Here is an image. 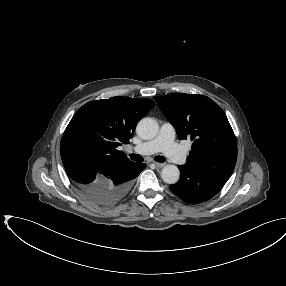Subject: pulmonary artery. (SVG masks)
Returning <instances> with one entry per match:
<instances>
[{
    "mask_svg": "<svg viewBox=\"0 0 286 286\" xmlns=\"http://www.w3.org/2000/svg\"><path fill=\"white\" fill-rule=\"evenodd\" d=\"M176 131L172 124L166 122L162 124L157 136L147 142L135 146V152L142 155H151L157 152H163L167 157L176 163L185 162L183 150L175 142Z\"/></svg>",
    "mask_w": 286,
    "mask_h": 286,
    "instance_id": "obj_1",
    "label": "pulmonary artery"
}]
</instances>
